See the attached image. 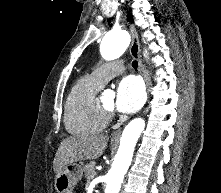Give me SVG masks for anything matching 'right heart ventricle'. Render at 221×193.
<instances>
[{"label": "right heart ventricle", "mask_w": 221, "mask_h": 193, "mask_svg": "<svg viewBox=\"0 0 221 193\" xmlns=\"http://www.w3.org/2000/svg\"><path fill=\"white\" fill-rule=\"evenodd\" d=\"M101 87L91 76H83L73 84L64 105V122L69 133L91 134L106 127L108 120L95 103Z\"/></svg>", "instance_id": "obj_1"}]
</instances>
